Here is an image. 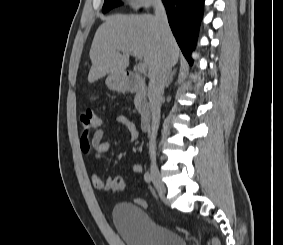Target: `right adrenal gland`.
Returning a JSON list of instances; mask_svg holds the SVG:
<instances>
[{
	"label": "right adrenal gland",
	"instance_id": "right-adrenal-gland-1",
	"mask_svg": "<svg viewBox=\"0 0 283 245\" xmlns=\"http://www.w3.org/2000/svg\"><path fill=\"white\" fill-rule=\"evenodd\" d=\"M176 69H174L173 71H171V73H170V76H169V78H168V80H167V83H166V87H168L171 83H172V81H173V76L176 74Z\"/></svg>",
	"mask_w": 283,
	"mask_h": 245
}]
</instances>
